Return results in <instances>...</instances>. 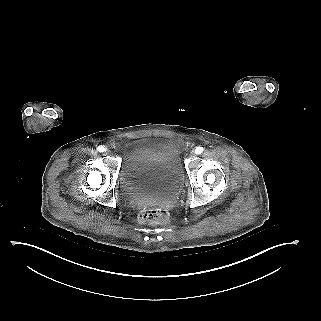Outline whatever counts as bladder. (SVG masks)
<instances>
[{
  "label": "bladder",
  "instance_id": "obj_1",
  "mask_svg": "<svg viewBox=\"0 0 321 321\" xmlns=\"http://www.w3.org/2000/svg\"><path fill=\"white\" fill-rule=\"evenodd\" d=\"M183 183L184 170L174 142L146 137L126 144L119 184L131 202L152 204L171 200L180 192Z\"/></svg>",
  "mask_w": 321,
  "mask_h": 321
}]
</instances>
